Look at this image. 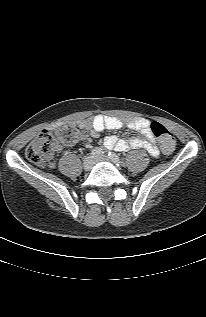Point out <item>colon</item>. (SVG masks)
Returning a JSON list of instances; mask_svg holds the SVG:
<instances>
[{
    "instance_id": "colon-1",
    "label": "colon",
    "mask_w": 206,
    "mask_h": 317,
    "mask_svg": "<svg viewBox=\"0 0 206 317\" xmlns=\"http://www.w3.org/2000/svg\"><path fill=\"white\" fill-rule=\"evenodd\" d=\"M152 134L158 140L165 152H170L175 146L173 134L161 123L150 124ZM83 131L72 126H65L57 131V137L64 145H70L82 138ZM56 146V139L49 131H42L26 149L28 160L37 165H44L52 157Z\"/></svg>"
}]
</instances>
